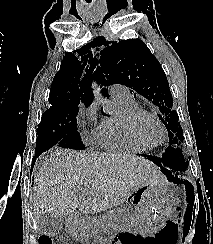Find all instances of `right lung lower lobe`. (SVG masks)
Instances as JSON below:
<instances>
[{
    "mask_svg": "<svg viewBox=\"0 0 213 244\" xmlns=\"http://www.w3.org/2000/svg\"><path fill=\"white\" fill-rule=\"evenodd\" d=\"M41 153H35V158H34V162L36 161V158L40 155ZM34 163H32V167H33Z\"/></svg>",
    "mask_w": 213,
    "mask_h": 244,
    "instance_id": "obj_1",
    "label": "right lung lower lobe"
}]
</instances>
